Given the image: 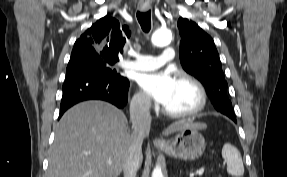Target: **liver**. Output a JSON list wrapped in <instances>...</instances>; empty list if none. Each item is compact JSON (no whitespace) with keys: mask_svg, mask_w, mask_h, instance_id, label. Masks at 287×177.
<instances>
[{"mask_svg":"<svg viewBox=\"0 0 287 177\" xmlns=\"http://www.w3.org/2000/svg\"><path fill=\"white\" fill-rule=\"evenodd\" d=\"M189 126L207 128L202 123L176 122L164 133ZM132 140L127 118L115 106L102 101L77 104L62 116L55 128L46 177H118Z\"/></svg>","mask_w":287,"mask_h":177,"instance_id":"6515ba94","label":"liver"}]
</instances>
